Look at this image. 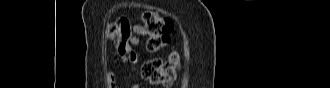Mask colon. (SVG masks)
Here are the masks:
<instances>
[{"instance_id":"1","label":"colon","mask_w":330,"mask_h":88,"mask_svg":"<svg viewBox=\"0 0 330 88\" xmlns=\"http://www.w3.org/2000/svg\"><path fill=\"white\" fill-rule=\"evenodd\" d=\"M142 21V27L148 36L146 50L151 57L142 64L141 76L150 84L171 86L180 69V56L177 52H172L167 60H163L156 54L170 43L173 23L154 11L143 12ZM105 34L106 38L115 45L120 56L128 53L129 41L134 32L127 19L119 18L111 22Z\"/></svg>"}]
</instances>
